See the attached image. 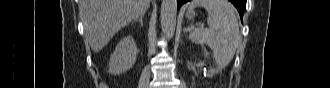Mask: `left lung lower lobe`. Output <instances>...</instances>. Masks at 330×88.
Instances as JSON below:
<instances>
[{
	"mask_svg": "<svg viewBox=\"0 0 330 88\" xmlns=\"http://www.w3.org/2000/svg\"><path fill=\"white\" fill-rule=\"evenodd\" d=\"M190 0H178V4H177V8L179 9L181 7V5L183 3H186ZM231 3L234 4V6L237 8V10L239 11V14H240V17H241V20L243 18V14H244V8H243V4L245 3L246 4V0H229Z\"/></svg>",
	"mask_w": 330,
	"mask_h": 88,
	"instance_id": "0a47b994",
	"label": "left lung lower lobe"
}]
</instances>
